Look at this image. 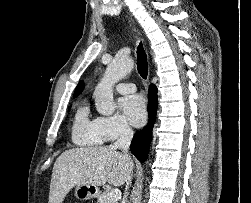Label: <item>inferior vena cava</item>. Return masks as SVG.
I'll return each instance as SVG.
<instances>
[{
  "label": "inferior vena cava",
  "mask_w": 251,
  "mask_h": 203,
  "mask_svg": "<svg viewBox=\"0 0 251 203\" xmlns=\"http://www.w3.org/2000/svg\"><path fill=\"white\" fill-rule=\"evenodd\" d=\"M132 137H133V130L130 128V126L127 123H123L120 127L119 138L116 142H114L111 145V147L114 149H118V148L121 149L124 155L127 158H130L127 153H128L129 146L131 144ZM131 173L132 171L129 173L128 179L126 181L127 185H126V193H125L124 200L127 196L126 194H127L129 183L131 182V178H132Z\"/></svg>",
  "instance_id": "1"
}]
</instances>
